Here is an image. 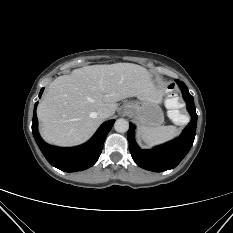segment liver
I'll return each mask as SVG.
<instances>
[{"label": "liver", "instance_id": "liver-1", "mask_svg": "<svg viewBox=\"0 0 233 233\" xmlns=\"http://www.w3.org/2000/svg\"><path fill=\"white\" fill-rule=\"evenodd\" d=\"M137 96L155 103L162 99L142 66L115 63L75 69L52 81L39 103L41 136L58 146L81 144L101 125L100 110L107 108L113 115L118 101Z\"/></svg>", "mask_w": 233, "mask_h": 233}]
</instances>
